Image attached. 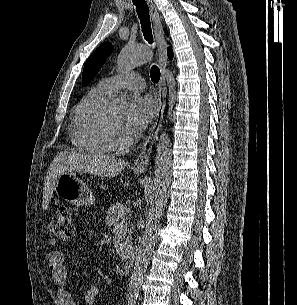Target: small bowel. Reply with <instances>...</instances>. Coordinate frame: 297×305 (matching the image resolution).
Instances as JSON below:
<instances>
[{"instance_id": "obj_1", "label": "small bowel", "mask_w": 297, "mask_h": 305, "mask_svg": "<svg viewBox=\"0 0 297 305\" xmlns=\"http://www.w3.org/2000/svg\"><path fill=\"white\" fill-rule=\"evenodd\" d=\"M54 244L53 239L48 240V245ZM47 266L50 275L57 286V293L61 305H78V302L69 289L68 272L65 265L63 252L52 249L47 254ZM103 293V289L93 286L85 293L84 301L86 305H92L95 298Z\"/></svg>"}]
</instances>
